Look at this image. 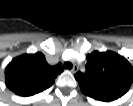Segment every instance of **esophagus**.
Returning <instances> with one entry per match:
<instances>
[{"mask_svg": "<svg viewBox=\"0 0 133 106\" xmlns=\"http://www.w3.org/2000/svg\"><path fill=\"white\" fill-rule=\"evenodd\" d=\"M78 66L77 65H73L72 69H71V72L72 73H76L78 71Z\"/></svg>", "mask_w": 133, "mask_h": 106, "instance_id": "34e87169", "label": "esophagus"}]
</instances>
